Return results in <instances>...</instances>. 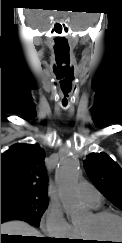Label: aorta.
Listing matches in <instances>:
<instances>
[{
  "mask_svg": "<svg viewBox=\"0 0 122 243\" xmlns=\"http://www.w3.org/2000/svg\"><path fill=\"white\" fill-rule=\"evenodd\" d=\"M79 177L77 158L69 153L64 154L56 168L55 179L59 187L60 200L71 220H75L82 210V202L76 192Z\"/></svg>",
  "mask_w": 122,
  "mask_h": 243,
  "instance_id": "762f6f07",
  "label": "aorta"
}]
</instances>
